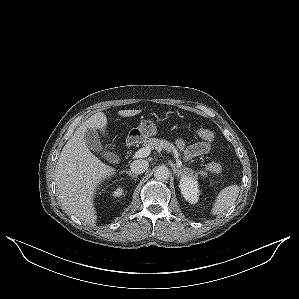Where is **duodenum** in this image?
I'll return each mask as SVG.
<instances>
[{
    "label": "duodenum",
    "instance_id": "1",
    "mask_svg": "<svg viewBox=\"0 0 299 299\" xmlns=\"http://www.w3.org/2000/svg\"><path fill=\"white\" fill-rule=\"evenodd\" d=\"M133 143H134V139L133 138H129L128 140H127V147H131L132 145H133Z\"/></svg>",
    "mask_w": 299,
    "mask_h": 299
}]
</instances>
